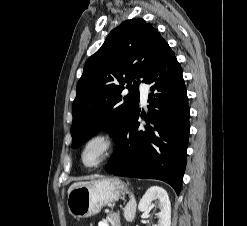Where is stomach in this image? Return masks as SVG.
Wrapping results in <instances>:
<instances>
[{"instance_id":"obj_1","label":"stomach","mask_w":247,"mask_h":226,"mask_svg":"<svg viewBox=\"0 0 247 226\" xmlns=\"http://www.w3.org/2000/svg\"><path fill=\"white\" fill-rule=\"evenodd\" d=\"M125 192V185L115 177L79 183L68 193V210L78 218L91 217L98 214L103 206L117 201Z\"/></svg>"}]
</instances>
